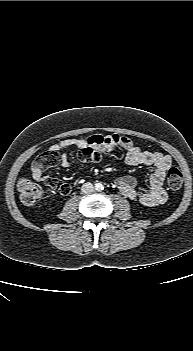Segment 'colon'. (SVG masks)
<instances>
[{
    "label": "colon",
    "mask_w": 193,
    "mask_h": 351,
    "mask_svg": "<svg viewBox=\"0 0 193 351\" xmlns=\"http://www.w3.org/2000/svg\"><path fill=\"white\" fill-rule=\"evenodd\" d=\"M99 138V137H98ZM100 139V144L102 139ZM101 158L100 152L98 149H90L87 146L81 148L77 153V160L81 163H90L97 162ZM59 162V157L57 152L47 151L39 155L33 163L32 171L33 172H43L49 167L56 166ZM167 183L170 189L176 190L179 189L183 183V176L180 170L176 167H171L167 173ZM50 186L59 191L61 194L67 195L70 193V187L66 183L58 180L51 179L49 181ZM18 192L20 199L24 204L31 205L34 204L42 194L41 186L27 178H22L18 181L17 184Z\"/></svg>",
    "instance_id": "obj_1"
}]
</instances>
